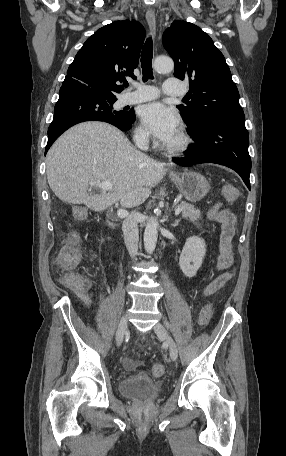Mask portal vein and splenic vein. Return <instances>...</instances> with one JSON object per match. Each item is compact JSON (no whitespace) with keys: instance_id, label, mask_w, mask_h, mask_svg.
Segmentation results:
<instances>
[{"instance_id":"1","label":"portal vein and splenic vein","mask_w":286,"mask_h":456,"mask_svg":"<svg viewBox=\"0 0 286 456\" xmlns=\"http://www.w3.org/2000/svg\"><path fill=\"white\" fill-rule=\"evenodd\" d=\"M89 185H90V187H97L104 191H111L113 188L112 184L108 181H102V182L90 181ZM181 211H182V207H178L177 209H175V215H178ZM117 215L119 217L124 218L128 215V212L124 209H118Z\"/></svg>"}]
</instances>
